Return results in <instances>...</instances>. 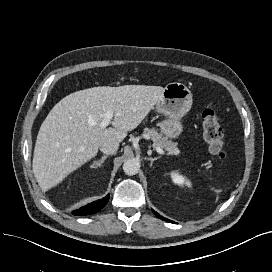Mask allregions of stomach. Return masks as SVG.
I'll return each instance as SVG.
<instances>
[{
    "label": "stomach",
    "instance_id": "stomach-1",
    "mask_svg": "<svg viewBox=\"0 0 272 272\" xmlns=\"http://www.w3.org/2000/svg\"><path fill=\"white\" fill-rule=\"evenodd\" d=\"M192 92L178 82L167 84L163 94L156 103V110L165 116L158 123L161 132L169 138H177L183 131L181 119L192 106Z\"/></svg>",
    "mask_w": 272,
    "mask_h": 272
}]
</instances>
